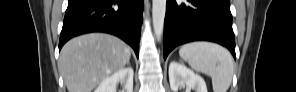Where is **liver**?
Returning <instances> with one entry per match:
<instances>
[{
	"label": "liver",
	"instance_id": "1",
	"mask_svg": "<svg viewBox=\"0 0 296 92\" xmlns=\"http://www.w3.org/2000/svg\"><path fill=\"white\" fill-rule=\"evenodd\" d=\"M130 57V49L121 39L90 33L63 46L58 69L68 92H91L113 72L123 69Z\"/></svg>",
	"mask_w": 296,
	"mask_h": 92
}]
</instances>
